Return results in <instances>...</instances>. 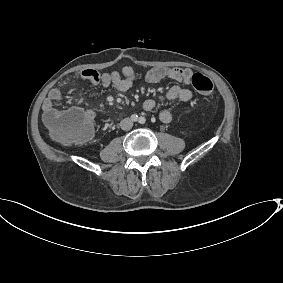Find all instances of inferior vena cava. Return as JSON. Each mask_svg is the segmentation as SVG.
Here are the masks:
<instances>
[{
	"label": "inferior vena cava",
	"instance_id": "obj_1",
	"mask_svg": "<svg viewBox=\"0 0 283 283\" xmlns=\"http://www.w3.org/2000/svg\"><path fill=\"white\" fill-rule=\"evenodd\" d=\"M120 126L122 130L128 131L133 127V121L130 118H124L120 122Z\"/></svg>",
	"mask_w": 283,
	"mask_h": 283
}]
</instances>
